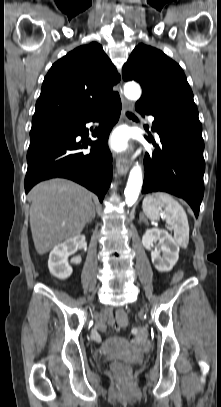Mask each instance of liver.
Instances as JSON below:
<instances>
[{
	"mask_svg": "<svg viewBox=\"0 0 221 407\" xmlns=\"http://www.w3.org/2000/svg\"><path fill=\"white\" fill-rule=\"evenodd\" d=\"M30 227L38 254L79 235L93 215L91 193L61 178L40 182L28 194Z\"/></svg>",
	"mask_w": 221,
	"mask_h": 407,
	"instance_id": "obj_1",
	"label": "liver"
}]
</instances>
